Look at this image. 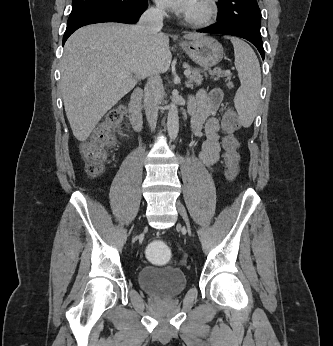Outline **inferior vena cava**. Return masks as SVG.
I'll use <instances>...</instances> for the list:
<instances>
[{
  "mask_svg": "<svg viewBox=\"0 0 333 346\" xmlns=\"http://www.w3.org/2000/svg\"><path fill=\"white\" fill-rule=\"evenodd\" d=\"M165 11L161 7L149 8L140 17L137 28L147 36H156L163 27ZM144 88V107L151 130L156 127L159 105L163 94L162 80L158 72L151 71Z\"/></svg>",
  "mask_w": 333,
  "mask_h": 346,
  "instance_id": "obj_1",
  "label": "inferior vena cava"
}]
</instances>
